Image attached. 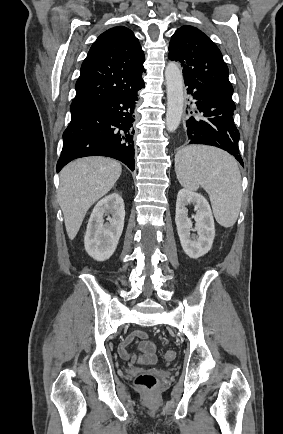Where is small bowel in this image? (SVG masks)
Returning <instances> with one entry per match:
<instances>
[{
  "instance_id": "1",
  "label": "small bowel",
  "mask_w": 283,
  "mask_h": 434,
  "mask_svg": "<svg viewBox=\"0 0 283 434\" xmlns=\"http://www.w3.org/2000/svg\"><path fill=\"white\" fill-rule=\"evenodd\" d=\"M135 343L139 354L134 355L129 351V346ZM119 354L125 360L134 361L140 365H150L156 361L155 344L148 340V334L142 330L130 333L119 345Z\"/></svg>"
}]
</instances>
